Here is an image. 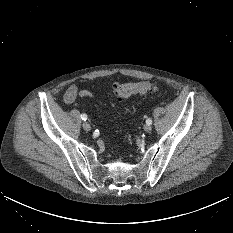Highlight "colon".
Here are the masks:
<instances>
[{
  "instance_id": "1",
  "label": "colon",
  "mask_w": 233,
  "mask_h": 233,
  "mask_svg": "<svg viewBox=\"0 0 233 233\" xmlns=\"http://www.w3.org/2000/svg\"><path fill=\"white\" fill-rule=\"evenodd\" d=\"M157 91L158 85L154 82H131L114 85V96L118 100H124L136 94H147Z\"/></svg>"
}]
</instances>
